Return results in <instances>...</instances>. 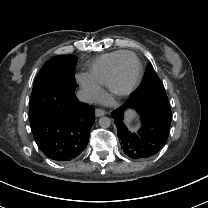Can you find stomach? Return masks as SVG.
Masks as SVG:
<instances>
[{
  "instance_id": "obj_1",
  "label": "stomach",
  "mask_w": 208,
  "mask_h": 208,
  "mask_svg": "<svg viewBox=\"0 0 208 208\" xmlns=\"http://www.w3.org/2000/svg\"><path fill=\"white\" fill-rule=\"evenodd\" d=\"M136 117V113L133 110H128L125 113V123L129 124Z\"/></svg>"
}]
</instances>
